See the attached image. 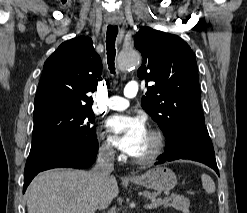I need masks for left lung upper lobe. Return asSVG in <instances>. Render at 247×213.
<instances>
[{
	"instance_id": "5c2ea615",
	"label": "left lung upper lobe",
	"mask_w": 247,
	"mask_h": 213,
	"mask_svg": "<svg viewBox=\"0 0 247 213\" xmlns=\"http://www.w3.org/2000/svg\"><path fill=\"white\" fill-rule=\"evenodd\" d=\"M134 46L142 53L138 77L154 82L141 105L164 133L167 143L183 127L205 125L195 55L179 36L142 27Z\"/></svg>"
}]
</instances>
